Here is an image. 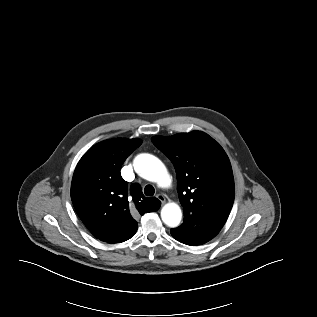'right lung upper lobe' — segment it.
Masks as SVG:
<instances>
[{
  "mask_svg": "<svg viewBox=\"0 0 317 317\" xmlns=\"http://www.w3.org/2000/svg\"><path fill=\"white\" fill-rule=\"evenodd\" d=\"M141 143L139 139L105 140L90 148L77 164L71 199L82 222L101 241L130 239L138 228L136 216L160 207L157 198L143 195L139 184L128 189L120 174L123 162Z\"/></svg>",
  "mask_w": 317,
  "mask_h": 317,
  "instance_id": "1",
  "label": "right lung upper lobe"
}]
</instances>
